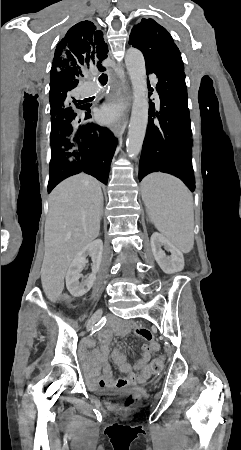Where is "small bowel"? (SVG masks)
<instances>
[{"mask_svg": "<svg viewBox=\"0 0 241 450\" xmlns=\"http://www.w3.org/2000/svg\"><path fill=\"white\" fill-rule=\"evenodd\" d=\"M129 333H134L146 343L140 346V358L134 364L127 362L121 349L115 348L112 351L111 357L114 364L125 375L124 377H115L107 362L109 344L113 335L124 337ZM97 339L101 346L93 350L92 356H83L82 358L84 370H88L90 386L99 389H122L143 385L149 380L151 377L149 362L160 349V344L155 340L150 329L133 320H120L111 322L100 330L97 333ZM94 344V340L85 339L81 346L83 349H87L93 347Z\"/></svg>", "mask_w": 241, "mask_h": 450, "instance_id": "small-bowel-1", "label": "small bowel"}]
</instances>
